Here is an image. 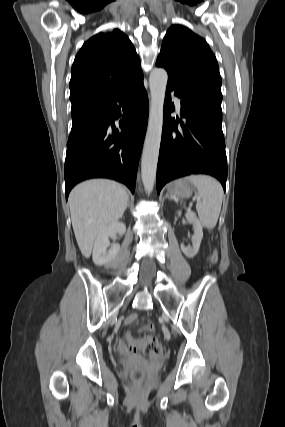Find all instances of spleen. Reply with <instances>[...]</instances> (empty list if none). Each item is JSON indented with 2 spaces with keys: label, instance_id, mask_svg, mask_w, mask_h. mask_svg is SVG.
Segmentation results:
<instances>
[{
  "label": "spleen",
  "instance_id": "spleen-1",
  "mask_svg": "<svg viewBox=\"0 0 285 427\" xmlns=\"http://www.w3.org/2000/svg\"><path fill=\"white\" fill-rule=\"evenodd\" d=\"M184 180L194 184L197 188L196 209L201 224L208 229H213L217 224L222 206L221 184L207 175H191Z\"/></svg>",
  "mask_w": 285,
  "mask_h": 427
}]
</instances>
